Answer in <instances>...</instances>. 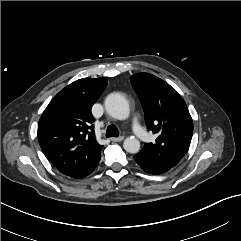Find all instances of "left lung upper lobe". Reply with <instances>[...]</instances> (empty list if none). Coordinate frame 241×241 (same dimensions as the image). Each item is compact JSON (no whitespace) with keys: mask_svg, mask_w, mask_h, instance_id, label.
Wrapping results in <instances>:
<instances>
[{"mask_svg":"<svg viewBox=\"0 0 241 241\" xmlns=\"http://www.w3.org/2000/svg\"><path fill=\"white\" fill-rule=\"evenodd\" d=\"M142 104L148 130L158 135L155 143H145L134 156L145 168L170 170L187 153L193 134V122L187 105L168 83L149 74L130 77Z\"/></svg>","mask_w":241,"mask_h":241,"instance_id":"1","label":"left lung upper lobe"}]
</instances>
